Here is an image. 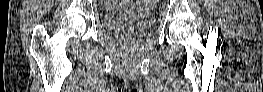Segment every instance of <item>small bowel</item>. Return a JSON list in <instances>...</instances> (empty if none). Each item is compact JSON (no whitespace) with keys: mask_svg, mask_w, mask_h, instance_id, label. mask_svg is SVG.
<instances>
[{"mask_svg":"<svg viewBox=\"0 0 263 92\" xmlns=\"http://www.w3.org/2000/svg\"><path fill=\"white\" fill-rule=\"evenodd\" d=\"M111 4H113V3H111ZM124 4H127V5H128L129 3H124Z\"/></svg>","mask_w":263,"mask_h":92,"instance_id":"obj_1","label":"small bowel"}]
</instances>
